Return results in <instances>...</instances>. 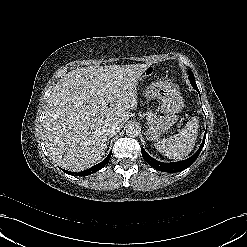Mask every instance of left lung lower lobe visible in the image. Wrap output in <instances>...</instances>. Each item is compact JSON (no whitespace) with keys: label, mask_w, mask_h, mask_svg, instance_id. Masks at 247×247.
Instances as JSON below:
<instances>
[{"label":"left lung lower lobe","mask_w":247,"mask_h":247,"mask_svg":"<svg viewBox=\"0 0 247 247\" xmlns=\"http://www.w3.org/2000/svg\"><path fill=\"white\" fill-rule=\"evenodd\" d=\"M193 86V88L198 91L199 93V90L197 88V85H196V82L195 81H191L190 82ZM205 138H206V132H205V135H204V138H203V142L202 144L200 145L198 151L190 158L186 159V160H183V161H179V162H171V163H163V162H159L157 160H155L154 158H152L143 148H141V152H142V156L144 158V160L149 164L151 165L153 168L159 170V171H165V172H180V171H183L185 169H187L196 159L197 157L199 156L203 146H204V143H205Z\"/></svg>","instance_id":"0a47b994"}]
</instances>
